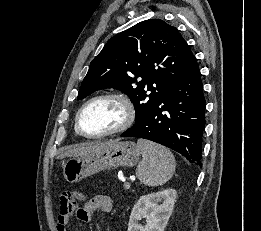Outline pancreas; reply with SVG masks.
Instances as JSON below:
<instances>
[{"mask_svg":"<svg viewBox=\"0 0 261 231\" xmlns=\"http://www.w3.org/2000/svg\"><path fill=\"white\" fill-rule=\"evenodd\" d=\"M124 188H125V189H129L130 187H128V186H126V185L124 184Z\"/></svg>","mask_w":261,"mask_h":231,"instance_id":"1","label":"pancreas"}]
</instances>
